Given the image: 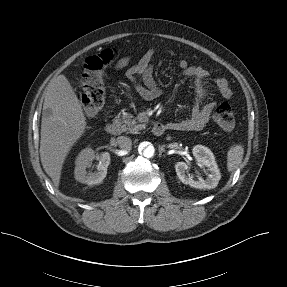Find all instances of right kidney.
<instances>
[{
	"label": "right kidney",
	"mask_w": 287,
	"mask_h": 287,
	"mask_svg": "<svg viewBox=\"0 0 287 287\" xmlns=\"http://www.w3.org/2000/svg\"><path fill=\"white\" fill-rule=\"evenodd\" d=\"M95 158L99 159L97 171L94 173H88L86 168ZM75 164L76 167L74 174L75 179L78 182L85 183L87 185L99 184L106 177L107 168L110 164V154L108 152H103L97 156L91 148H85L78 155Z\"/></svg>",
	"instance_id": "right-kidney-1"
}]
</instances>
